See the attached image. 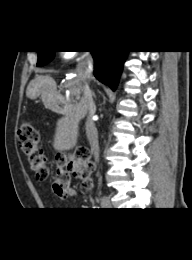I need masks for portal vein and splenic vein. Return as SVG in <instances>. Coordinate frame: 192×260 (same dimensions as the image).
I'll use <instances>...</instances> for the list:
<instances>
[{"label":"portal vein and splenic vein","mask_w":192,"mask_h":260,"mask_svg":"<svg viewBox=\"0 0 192 260\" xmlns=\"http://www.w3.org/2000/svg\"><path fill=\"white\" fill-rule=\"evenodd\" d=\"M72 94H74V95H76V93L75 92H71Z\"/></svg>","instance_id":"portal-vein-and-splenic-vein-1"}]
</instances>
